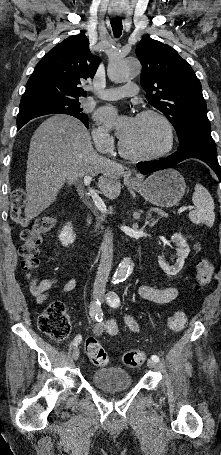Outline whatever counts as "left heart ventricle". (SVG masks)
Listing matches in <instances>:
<instances>
[{"mask_svg": "<svg viewBox=\"0 0 221 455\" xmlns=\"http://www.w3.org/2000/svg\"><path fill=\"white\" fill-rule=\"evenodd\" d=\"M122 141L127 149L145 153L163 147L166 135L162 124L157 119L153 117L136 118L133 130Z\"/></svg>", "mask_w": 221, "mask_h": 455, "instance_id": "left-heart-ventricle-1", "label": "left heart ventricle"}]
</instances>
